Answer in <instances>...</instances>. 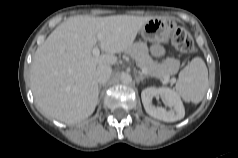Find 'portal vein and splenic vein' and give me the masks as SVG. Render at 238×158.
<instances>
[{
	"instance_id": "obj_1",
	"label": "portal vein and splenic vein",
	"mask_w": 238,
	"mask_h": 158,
	"mask_svg": "<svg viewBox=\"0 0 238 158\" xmlns=\"http://www.w3.org/2000/svg\"><path fill=\"white\" fill-rule=\"evenodd\" d=\"M97 38H98V40H103V35H102V34H98V35H97ZM92 54H93L94 56H99L100 50H99V48H98L97 46L93 48ZM142 73H143V74H148L147 69H146V68H143V69H142ZM164 81H165L166 83H168V82L170 81V79H169L168 77H166V78L164 79ZM172 82L174 83V82H175V79H172Z\"/></svg>"
}]
</instances>
